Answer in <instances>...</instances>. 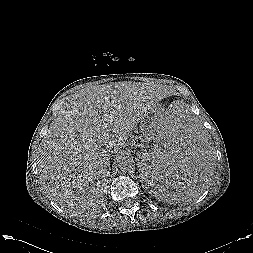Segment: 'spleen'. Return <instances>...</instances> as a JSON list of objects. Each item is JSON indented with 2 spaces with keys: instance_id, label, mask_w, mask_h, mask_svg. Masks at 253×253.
<instances>
[{
  "instance_id": "3e777b00",
  "label": "spleen",
  "mask_w": 253,
  "mask_h": 253,
  "mask_svg": "<svg viewBox=\"0 0 253 253\" xmlns=\"http://www.w3.org/2000/svg\"><path fill=\"white\" fill-rule=\"evenodd\" d=\"M213 171L214 152L204 123L183 102L175 104L141 154V183L155 197L187 202L199 195Z\"/></svg>"
}]
</instances>
